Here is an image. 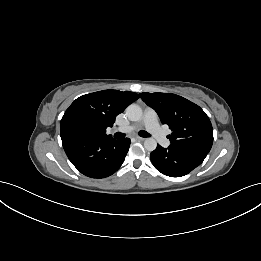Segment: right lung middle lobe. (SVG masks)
Masks as SVG:
<instances>
[{
  "label": "right lung middle lobe",
  "instance_id": "right-lung-middle-lobe-1",
  "mask_svg": "<svg viewBox=\"0 0 261 261\" xmlns=\"http://www.w3.org/2000/svg\"><path fill=\"white\" fill-rule=\"evenodd\" d=\"M95 138L92 125L83 119H75L61 128V139Z\"/></svg>",
  "mask_w": 261,
  "mask_h": 261
}]
</instances>
